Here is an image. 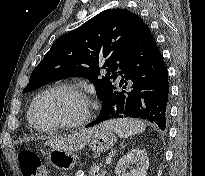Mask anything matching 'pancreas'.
I'll use <instances>...</instances> for the list:
<instances>
[{"mask_svg": "<svg viewBox=\"0 0 205 176\" xmlns=\"http://www.w3.org/2000/svg\"><path fill=\"white\" fill-rule=\"evenodd\" d=\"M107 173V171L105 169H99L98 166H94L92 169H91V173L89 176H105Z\"/></svg>", "mask_w": 205, "mask_h": 176, "instance_id": "pancreas-1", "label": "pancreas"}]
</instances>
